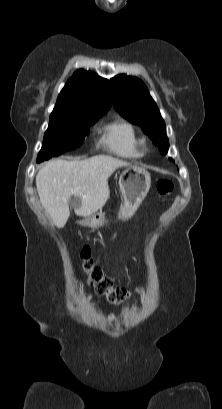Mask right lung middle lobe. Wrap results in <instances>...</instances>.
Listing matches in <instances>:
<instances>
[{"mask_svg": "<svg viewBox=\"0 0 222 409\" xmlns=\"http://www.w3.org/2000/svg\"><path fill=\"white\" fill-rule=\"evenodd\" d=\"M106 112L96 109H71L52 112L37 162L48 160L79 147L85 136L89 134L90 125L94 124Z\"/></svg>", "mask_w": 222, "mask_h": 409, "instance_id": "1", "label": "right lung middle lobe"}]
</instances>
